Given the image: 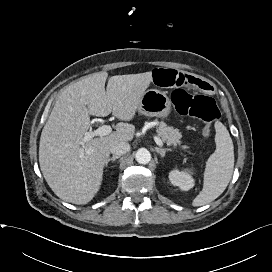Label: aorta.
<instances>
[{
  "label": "aorta",
  "mask_w": 272,
  "mask_h": 272,
  "mask_svg": "<svg viewBox=\"0 0 272 272\" xmlns=\"http://www.w3.org/2000/svg\"><path fill=\"white\" fill-rule=\"evenodd\" d=\"M136 161L139 164H148L151 160V153L145 149V148H140L135 155Z\"/></svg>",
  "instance_id": "aorta-1"
}]
</instances>
